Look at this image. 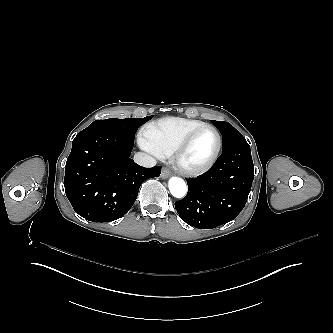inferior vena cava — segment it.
<instances>
[{
  "instance_id": "inferior-vena-cava-1",
  "label": "inferior vena cava",
  "mask_w": 333,
  "mask_h": 333,
  "mask_svg": "<svg viewBox=\"0 0 333 333\" xmlns=\"http://www.w3.org/2000/svg\"><path fill=\"white\" fill-rule=\"evenodd\" d=\"M134 161L138 165L146 168H151L156 165V159L144 152L136 153L134 155Z\"/></svg>"
}]
</instances>
